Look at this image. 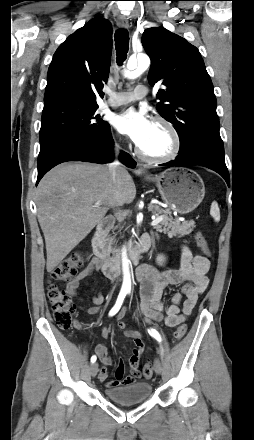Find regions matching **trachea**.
I'll use <instances>...</instances> for the list:
<instances>
[{"instance_id": "1", "label": "trachea", "mask_w": 254, "mask_h": 440, "mask_svg": "<svg viewBox=\"0 0 254 440\" xmlns=\"http://www.w3.org/2000/svg\"><path fill=\"white\" fill-rule=\"evenodd\" d=\"M115 48L118 65L125 61L129 48V34L125 29H118L115 32Z\"/></svg>"}]
</instances>
